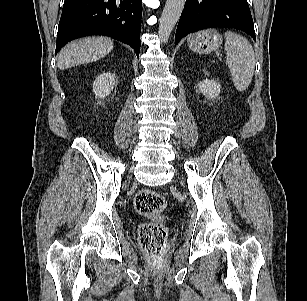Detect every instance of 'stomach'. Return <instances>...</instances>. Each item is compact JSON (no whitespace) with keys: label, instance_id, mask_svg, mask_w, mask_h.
Here are the masks:
<instances>
[{"label":"stomach","instance_id":"1","mask_svg":"<svg viewBox=\"0 0 307 301\" xmlns=\"http://www.w3.org/2000/svg\"><path fill=\"white\" fill-rule=\"evenodd\" d=\"M191 50L198 53H210L222 44V36L214 29L192 34L187 39Z\"/></svg>","mask_w":307,"mask_h":301}]
</instances>
